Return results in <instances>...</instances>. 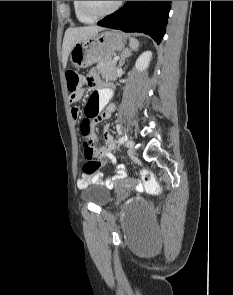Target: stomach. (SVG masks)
Here are the masks:
<instances>
[{"label": "stomach", "mask_w": 233, "mask_h": 295, "mask_svg": "<svg viewBox=\"0 0 233 295\" xmlns=\"http://www.w3.org/2000/svg\"><path fill=\"white\" fill-rule=\"evenodd\" d=\"M126 37L119 31L106 30L77 42L70 51V61L77 68H87L100 61L110 60L115 51L124 49Z\"/></svg>", "instance_id": "obj_1"}]
</instances>
